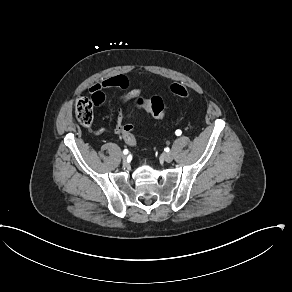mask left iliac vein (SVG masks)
I'll list each match as a JSON object with an SVG mask.
<instances>
[{"instance_id":"left-iliac-vein-1","label":"left iliac vein","mask_w":292,"mask_h":292,"mask_svg":"<svg viewBox=\"0 0 292 292\" xmlns=\"http://www.w3.org/2000/svg\"><path fill=\"white\" fill-rule=\"evenodd\" d=\"M163 159L170 163L173 160V154L171 152L163 154Z\"/></svg>"}]
</instances>
